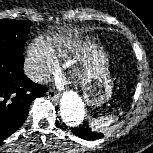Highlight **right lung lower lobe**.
I'll return each mask as SVG.
<instances>
[{"label":"right lung lower lobe","mask_w":153,"mask_h":153,"mask_svg":"<svg viewBox=\"0 0 153 153\" xmlns=\"http://www.w3.org/2000/svg\"><path fill=\"white\" fill-rule=\"evenodd\" d=\"M23 65L22 55L0 53V141L23 125L32 101L46 92L24 75Z\"/></svg>","instance_id":"98d812e1"}]
</instances>
